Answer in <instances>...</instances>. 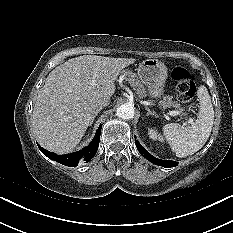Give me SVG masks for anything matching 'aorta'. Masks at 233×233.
<instances>
[{"label": "aorta", "instance_id": "1", "mask_svg": "<svg viewBox=\"0 0 233 233\" xmlns=\"http://www.w3.org/2000/svg\"><path fill=\"white\" fill-rule=\"evenodd\" d=\"M134 107L130 103L122 104L117 108L116 114L122 119H132L134 117Z\"/></svg>", "mask_w": 233, "mask_h": 233}]
</instances>
